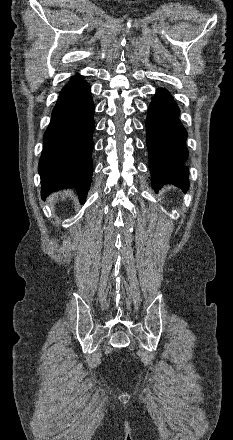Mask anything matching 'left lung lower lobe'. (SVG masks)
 I'll list each match as a JSON object with an SVG mask.
<instances>
[{
    "mask_svg": "<svg viewBox=\"0 0 233 440\" xmlns=\"http://www.w3.org/2000/svg\"><path fill=\"white\" fill-rule=\"evenodd\" d=\"M180 110L166 89L156 91L146 120L149 168L154 189L172 183L188 189V169L184 166L189 152L185 145L187 131L178 120Z\"/></svg>",
    "mask_w": 233,
    "mask_h": 440,
    "instance_id": "left-lung-lower-lobe-1",
    "label": "left lung lower lobe"
}]
</instances>
